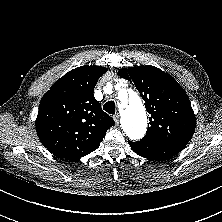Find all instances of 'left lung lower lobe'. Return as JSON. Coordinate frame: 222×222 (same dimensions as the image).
<instances>
[{
  "label": "left lung lower lobe",
  "instance_id": "1",
  "mask_svg": "<svg viewBox=\"0 0 222 222\" xmlns=\"http://www.w3.org/2000/svg\"><path fill=\"white\" fill-rule=\"evenodd\" d=\"M128 143L134 152L152 161L167 160L178 154L186 146L179 143H156L142 140L139 142L128 141Z\"/></svg>",
  "mask_w": 222,
  "mask_h": 222
}]
</instances>
